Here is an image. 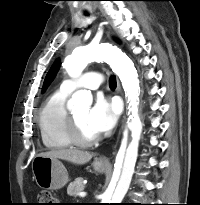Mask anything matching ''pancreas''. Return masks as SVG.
<instances>
[{"mask_svg": "<svg viewBox=\"0 0 200 205\" xmlns=\"http://www.w3.org/2000/svg\"><path fill=\"white\" fill-rule=\"evenodd\" d=\"M85 185L83 184V178H76L75 181L71 182L67 187V194L69 196H76L79 192L83 191Z\"/></svg>", "mask_w": 200, "mask_h": 205, "instance_id": "1", "label": "pancreas"}]
</instances>
